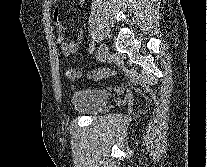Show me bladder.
<instances>
[{"instance_id":"31cf9c89","label":"bladder","mask_w":207,"mask_h":167,"mask_svg":"<svg viewBox=\"0 0 207 167\" xmlns=\"http://www.w3.org/2000/svg\"><path fill=\"white\" fill-rule=\"evenodd\" d=\"M109 100L107 92L99 89L84 88L73 92L71 105L75 112L94 116L101 112Z\"/></svg>"}]
</instances>
